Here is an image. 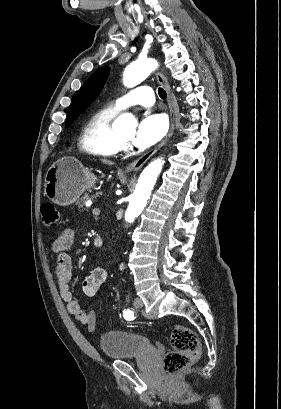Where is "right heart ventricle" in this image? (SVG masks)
<instances>
[{
	"label": "right heart ventricle",
	"instance_id": "right-heart-ventricle-1",
	"mask_svg": "<svg viewBox=\"0 0 281 409\" xmlns=\"http://www.w3.org/2000/svg\"><path fill=\"white\" fill-rule=\"evenodd\" d=\"M116 111L104 108L93 113L88 119L83 133L86 151L97 158L115 155L112 142V121Z\"/></svg>",
	"mask_w": 281,
	"mask_h": 409
}]
</instances>
